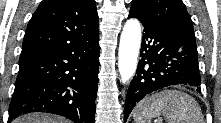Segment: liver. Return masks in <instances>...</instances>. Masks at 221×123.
Wrapping results in <instances>:
<instances>
[{"label":"liver","instance_id":"6515ba94","mask_svg":"<svg viewBox=\"0 0 221 123\" xmlns=\"http://www.w3.org/2000/svg\"><path fill=\"white\" fill-rule=\"evenodd\" d=\"M13 123H69L67 120L49 115L45 113H32L21 116L13 121Z\"/></svg>","mask_w":221,"mask_h":123}]
</instances>
